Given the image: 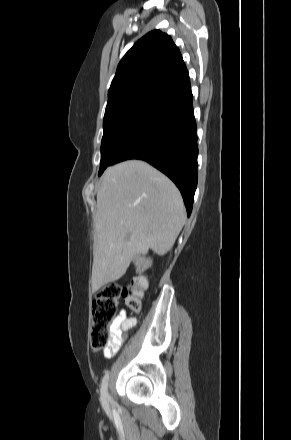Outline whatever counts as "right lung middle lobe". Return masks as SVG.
I'll use <instances>...</instances> for the list:
<instances>
[{"instance_id":"obj_1","label":"right lung middle lobe","mask_w":291,"mask_h":440,"mask_svg":"<svg viewBox=\"0 0 291 440\" xmlns=\"http://www.w3.org/2000/svg\"><path fill=\"white\" fill-rule=\"evenodd\" d=\"M154 99L155 97L139 96L106 106L99 176L110 165L111 159L136 128Z\"/></svg>"}]
</instances>
